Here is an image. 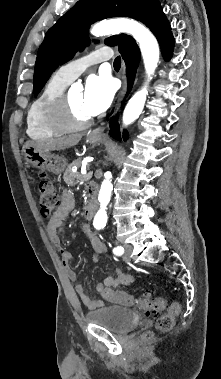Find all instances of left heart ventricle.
I'll return each mask as SVG.
<instances>
[{"label": "left heart ventricle", "mask_w": 221, "mask_h": 379, "mask_svg": "<svg viewBox=\"0 0 221 379\" xmlns=\"http://www.w3.org/2000/svg\"><path fill=\"white\" fill-rule=\"evenodd\" d=\"M69 102L72 110L77 118L86 119L90 115L83 108V93L82 92H71L68 94Z\"/></svg>", "instance_id": "b2bd125f"}]
</instances>
